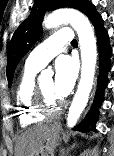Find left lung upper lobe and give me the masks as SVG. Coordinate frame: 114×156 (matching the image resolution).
Returning <instances> with one entry per match:
<instances>
[{
    "mask_svg": "<svg viewBox=\"0 0 114 156\" xmlns=\"http://www.w3.org/2000/svg\"><path fill=\"white\" fill-rule=\"evenodd\" d=\"M91 6L92 3L88 0H34L29 17L14 32L8 46L6 71L9 86L12 83L15 67L42 34L41 23L46 9L70 7L87 14Z\"/></svg>",
    "mask_w": 114,
    "mask_h": 156,
    "instance_id": "obj_1",
    "label": "left lung upper lobe"
}]
</instances>
